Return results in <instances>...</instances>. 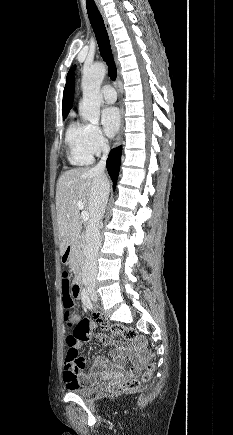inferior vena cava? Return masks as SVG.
I'll list each match as a JSON object with an SVG mask.
<instances>
[{"label": "inferior vena cava", "mask_w": 233, "mask_h": 435, "mask_svg": "<svg viewBox=\"0 0 233 435\" xmlns=\"http://www.w3.org/2000/svg\"><path fill=\"white\" fill-rule=\"evenodd\" d=\"M103 156L99 163L91 169L95 177L89 201L90 219L85 233L86 257L82 280L85 286H94L97 276V256L101 245L100 221L104 215L109 197V182L105 175L106 159L110 147L107 140L101 145Z\"/></svg>", "instance_id": "inferior-vena-cava-1"}]
</instances>
